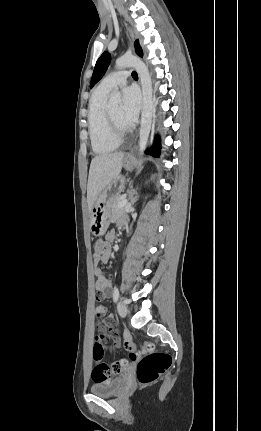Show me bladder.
Listing matches in <instances>:
<instances>
[{"instance_id":"31cf9c89","label":"bladder","mask_w":261,"mask_h":431,"mask_svg":"<svg viewBox=\"0 0 261 431\" xmlns=\"http://www.w3.org/2000/svg\"><path fill=\"white\" fill-rule=\"evenodd\" d=\"M126 379L124 377H116L96 381L90 386L92 394L101 397H111L118 394L124 387Z\"/></svg>"}]
</instances>
